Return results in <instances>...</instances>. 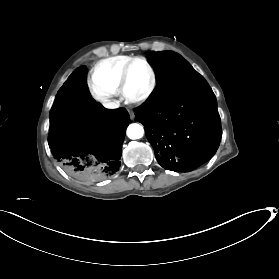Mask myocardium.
I'll return each mask as SVG.
<instances>
[{
    "instance_id": "1",
    "label": "myocardium",
    "mask_w": 279,
    "mask_h": 279,
    "mask_svg": "<svg viewBox=\"0 0 279 279\" xmlns=\"http://www.w3.org/2000/svg\"><path fill=\"white\" fill-rule=\"evenodd\" d=\"M136 62H142L149 70L150 75H151V83L147 91L137 97L130 96L127 92V80H128V75L129 71L132 67V65ZM157 87V74L154 69V67L151 65V63L144 57L142 56H135L132 57L130 60L126 62L124 65L120 78H119V95L122 97L123 100L129 103H142L148 100L152 94L155 92Z\"/></svg>"
}]
</instances>
